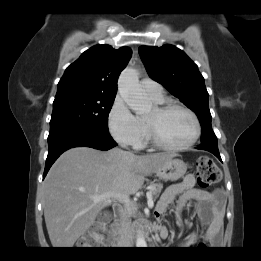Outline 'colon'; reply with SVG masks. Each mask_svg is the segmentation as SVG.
Here are the masks:
<instances>
[{
  "label": "colon",
  "mask_w": 261,
  "mask_h": 261,
  "mask_svg": "<svg viewBox=\"0 0 261 261\" xmlns=\"http://www.w3.org/2000/svg\"><path fill=\"white\" fill-rule=\"evenodd\" d=\"M221 171L215 164L212 158L203 156L197 161V181L200 186L208 187L218 183L221 180ZM110 218L109 213H104L101 216V221H107ZM103 224L96 225L91 232L80 242V247L83 249H92L98 245L104 236Z\"/></svg>",
  "instance_id": "5ec220e1"
}]
</instances>
